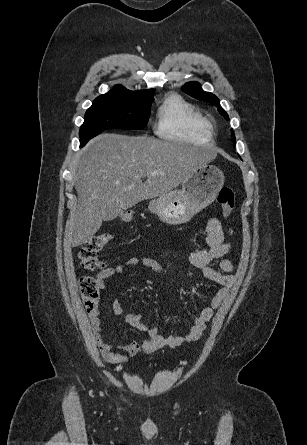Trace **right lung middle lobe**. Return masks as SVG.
Returning a JSON list of instances; mask_svg holds the SVG:
<instances>
[{
    "mask_svg": "<svg viewBox=\"0 0 307 445\" xmlns=\"http://www.w3.org/2000/svg\"><path fill=\"white\" fill-rule=\"evenodd\" d=\"M153 100H137L119 96H99L86 111L80 128V142L109 128L141 129L147 125Z\"/></svg>",
    "mask_w": 307,
    "mask_h": 445,
    "instance_id": "1",
    "label": "right lung middle lobe"
}]
</instances>
